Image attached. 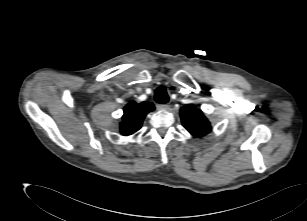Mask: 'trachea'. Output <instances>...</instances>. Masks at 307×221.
I'll list each match as a JSON object with an SVG mask.
<instances>
[{
	"label": "trachea",
	"instance_id": "trachea-1",
	"mask_svg": "<svg viewBox=\"0 0 307 221\" xmlns=\"http://www.w3.org/2000/svg\"><path fill=\"white\" fill-rule=\"evenodd\" d=\"M155 101L157 103L160 104H165L169 101V96L167 94V91L165 89V87L163 86H159L156 90H155Z\"/></svg>",
	"mask_w": 307,
	"mask_h": 221
}]
</instances>
